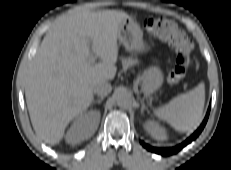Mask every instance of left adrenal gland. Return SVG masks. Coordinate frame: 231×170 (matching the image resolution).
I'll list each match as a JSON object with an SVG mask.
<instances>
[{
    "instance_id": "1",
    "label": "left adrenal gland",
    "mask_w": 231,
    "mask_h": 170,
    "mask_svg": "<svg viewBox=\"0 0 231 170\" xmlns=\"http://www.w3.org/2000/svg\"><path fill=\"white\" fill-rule=\"evenodd\" d=\"M144 110H147L149 112L148 108L145 106V104L142 102V107H141V114L144 113Z\"/></svg>"
}]
</instances>
